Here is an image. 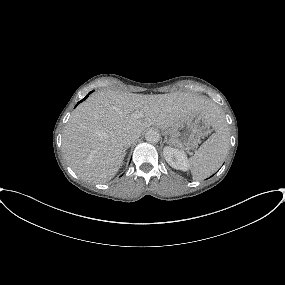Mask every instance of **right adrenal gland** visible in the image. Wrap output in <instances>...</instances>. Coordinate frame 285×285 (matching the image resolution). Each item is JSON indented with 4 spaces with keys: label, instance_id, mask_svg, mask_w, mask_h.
Returning <instances> with one entry per match:
<instances>
[{
    "label": "right adrenal gland",
    "instance_id": "right-adrenal-gland-1",
    "mask_svg": "<svg viewBox=\"0 0 285 285\" xmlns=\"http://www.w3.org/2000/svg\"><path fill=\"white\" fill-rule=\"evenodd\" d=\"M127 149H128V148L126 147L125 150H124L123 159H124V157H125V155H126V150H127Z\"/></svg>",
    "mask_w": 285,
    "mask_h": 285
}]
</instances>
